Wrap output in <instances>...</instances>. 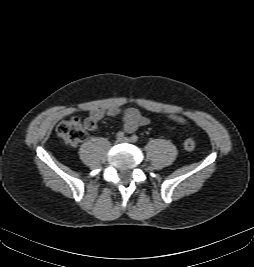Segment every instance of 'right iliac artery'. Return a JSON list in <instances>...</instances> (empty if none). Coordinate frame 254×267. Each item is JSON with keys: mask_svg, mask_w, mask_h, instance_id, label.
<instances>
[{"mask_svg": "<svg viewBox=\"0 0 254 267\" xmlns=\"http://www.w3.org/2000/svg\"><path fill=\"white\" fill-rule=\"evenodd\" d=\"M124 136H125V134H124V132H122V131H119V132L116 134V138H117L118 140H121L122 138H124Z\"/></svg>", "mask_w": 254, "mask_h": 267, "instance_id": "82829eb1", "label": "right iliac artery"}]
</instances>
